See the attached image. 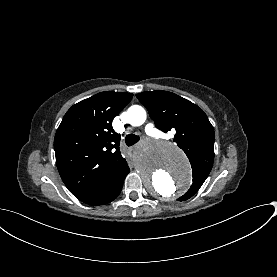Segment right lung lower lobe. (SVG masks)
<instances>
[{"label":"right lung lower lobe","mask_w":277,"mask_h":277,"mask_svg":"<svg viewBox=\"0 0 277 277\" xmlns=\"http://www.w3.org/2000/svg\"><path fill=\"white\" fill-rule=\"evenodd\" d=\"M129 171L130 169L126 163L109 183H107L91 196L84 198L81 201L94 206L107 204L113 201L120 194L124 179Z\"/></svg>","instance_id":"1"}]
</instances>
